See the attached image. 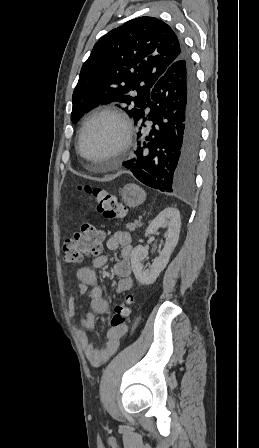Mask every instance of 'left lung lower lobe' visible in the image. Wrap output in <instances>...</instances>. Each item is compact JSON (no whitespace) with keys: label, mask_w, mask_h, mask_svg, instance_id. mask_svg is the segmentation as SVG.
Instances as JSON below:
<instances>
[{"label":"left lung lower lobe","mask_w":259,"mask_h":448,"mask_svg":"<svg viewBox=\"0 0 259 448\" xmlns=\"http://www.w3.org/2000/svg\"><path fill=\"white\" fill-rule=\"evenodd\" d=\"M133 118L139 130L145 127L147 131L138 142L136 158L123 165L139 181L162 192L190 188L198 159L201 114L195 70L184 47L181 58L152 88L149 104Z\"/></svg>","instance_id":"left-lung-lower-lobe-1"}]
</instances>
